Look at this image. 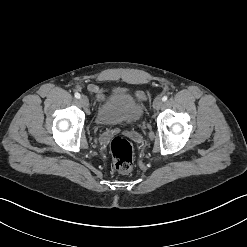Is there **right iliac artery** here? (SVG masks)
I'll return each instance as SVG.
<instances>
[{
	"instance_id": "1",
	"label": "right iliac artery",
	"mask_w": 247,
	"mask_h": 247,
	"mask_svg": "<svg viewBox=\"0 0 247 247\" xmlns=\"http://www.w3.org/2000/svg\"><path fill=\"white\" fill-rule=\"evenodd\" d=\"M75 97H76L77 99H79V98H80V94H79L78 92H76V93H75Z\"/></svg>"
}]
</instances>
